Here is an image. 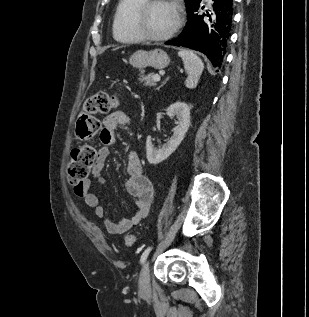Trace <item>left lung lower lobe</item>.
I'll use <instances>...</instances> for the list:
<instances>
[{
  "mask_svg": "<svg viewBox=\"0 0 309 317\" xmlns=\"http://www.w3.org/2000/svg\"><path fill=\"white\" fill-rule=\"evenodd\" d=\"M201 2L187 10V24L182 33L167 45L182 46L204 53L214 67L223 65L234 15V0H211L201 13ZM218 71V70H217Z\"/></svg>",
  "mask_w": 309,
  "mask_h": 317,
  "instance_id": "obj_1",
  "label": "left lung lower lobe"
}]
</instances>
